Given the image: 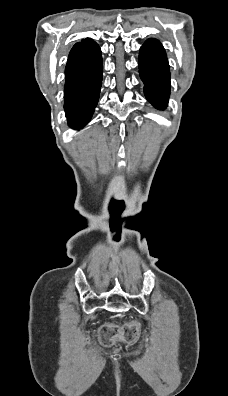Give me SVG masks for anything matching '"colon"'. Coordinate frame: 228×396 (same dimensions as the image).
Wrapping results in <instances>:
<instances>
[{
  "instance_id": "obj_1",
  "label": "colon",
  "mask_w": 228,
  "mask_h": 396,
  "mask_svg": "<svg viewBox=\"0 0 228 396\" xmlns=\"http://www.w3.org/2000/svg\"><path fill=\"white\" fill-rule=\"evenodd\" d=\"M139 332L140 323L137 320H131L122 326L105 324L99 331L101 342L105 345L113 344L116 341L134 342Z\"/></svg>"
}]
</instances>
